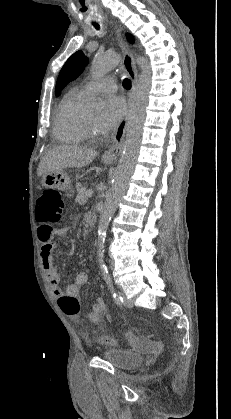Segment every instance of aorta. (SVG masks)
Segmentation results:
<instances>
[{
    "instance_id": "aorta-1",
    "label": "aorta",
    "mask_w": 231,
    "mask_h": 419,
    "mask_svg": "<svg viewBox=\"0 0 231 419\" xmlns=\"http://www.w3.org/2000/svg\"><path fill=\"white\" fill-rule=\"evenodd\" d=\"M118 62L119 55L117 53L96 55L92 61L91 74L95 78L102 77L115 68ZM137 63L141 67V74L130 98L123 151L98 225L97 257L102 267H104L103 243L109 222L116 211L118 202L128 187L142 139L145 111L151 84V69L148 60L144 57H139ZM89 106L97 108L100 106V103L96 98L92 97L89 99Z\"/></svg>"
}]
</instances>
